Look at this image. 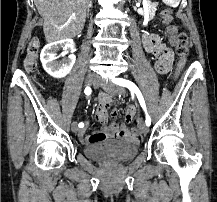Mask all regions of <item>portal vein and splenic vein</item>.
<instances>
[{
	"label": "portal vein and splenic vein",
	"mask_w": 217,
	"mask_h": 202,
	"mask_svg": "<svg viewBox=\"0 0 217 202\" xmlns=\"http://www.w3.org/2000/svg\"><path fill=\"white\" fill-rule=\"evenodd\" d=\"M72 20H76L75 16H73Z\"/></svg>",
	"instance_id": "18ae733b"
}]
</instances>
